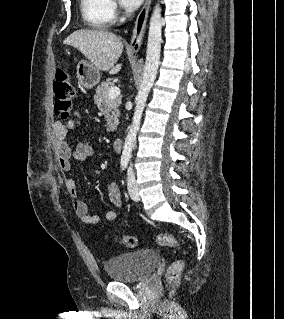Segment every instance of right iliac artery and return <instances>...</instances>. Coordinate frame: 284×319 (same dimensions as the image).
<instances>
[{"instance_id": "obj_1", "label": "right iliac artery", "mask_w": 284, "mask_h": 319, "mask_svg": "<svg viewBox=\"0 0 284 319\" xmlns=\"http://www.w3.org/2000/svg\"><path fill=\"white\" fill-rule=\"evenodd\" d=\"M128 165V160L127 159H122L121 160V168L122 170H125L127 168Z\"/></svg>"}]
</instances>
